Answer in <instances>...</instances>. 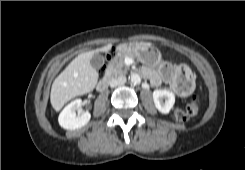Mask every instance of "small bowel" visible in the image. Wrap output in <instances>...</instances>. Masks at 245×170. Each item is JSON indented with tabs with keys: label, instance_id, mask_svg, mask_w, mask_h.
Wrapping results in <instances>:
<instances>
[{
	"label": "small bowel",
	"instance_id": "small-bowel-1",
	"mask_svg": "<svg viewBox=\"0 0 245 170\" xmlns=\"http://www.w3.org/2000/svg\"><path fill=\"white\" fill-rule=\"evenodd\" d=\"M141 74L148 78L153 86H160L162 83L171 84L176 71L170 63H163L156 71L143 68Z\"/></svg>",
	"mask_w": 245,
	"mask_h": 170
}]
</instances>
